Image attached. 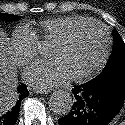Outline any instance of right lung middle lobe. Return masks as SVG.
<instances>
[{
  "label": "right lung middle lobe",
  "instance_id": "dd1d6c3e",
  "mask_svg": "<svg viewBox=\"0 0 125 125\" xmlns=\"http://www.w3.org/2000/svg\"><path fill=\"white\" fill-rule=\"evenodd\" d=\"M19 18H21V17L17 16V15L0 13V19L5 20V21H13V20H16Z\"/></svg>",
  "mask_w": 125,
  "mask_h": 125
}]
</instances>
